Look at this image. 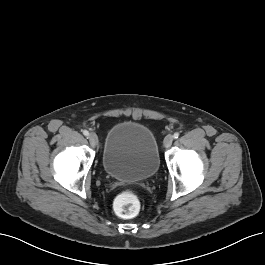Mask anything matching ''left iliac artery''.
<instances>
[{
  "label": "left iliac artery",
  "instance_id": "left-iliac-artery-1",
  "mask_svg": "<svg viewBox=\"0 0 265 265\" xmlns=\"http://www.w3.org/2000/svg\"><path fill=\"white\" fill-rule=\"evenodd\" d=\"M179 135H180V134H179L178 132H176V133H174L173 138H174V139H177V138L179 137Z\"/></svg>",
  "mask_w": 265,
  "mask_h": 265
}]
</instances>
